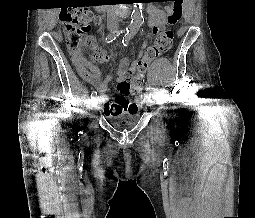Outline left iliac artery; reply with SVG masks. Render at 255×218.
<instances>
[{"label": "left iliac artery", "mask_w": 255, "mask_h": 218, "mask_svg": "<svg viewBox=\"0 0 255 218\" xmlns=\"http://www.w3.org/2000/svg\"><path fill=\"white\" fill-rule=\"evenodd\" d=\"M135 35L134 31H130L128 33H126V35L124 36L122 43L123 45L126 47L129 44V41L133 38V36ZM151 94H147V96L150 98Z\"/></svg>", "instance_id": "44dca946"}]
</instances>
